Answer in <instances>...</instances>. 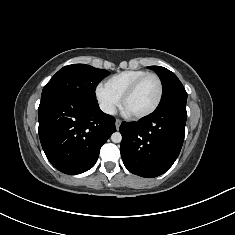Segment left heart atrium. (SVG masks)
<instances>
[{"mask_svg":"<svg viewBox=\"0 0 235 235\" xmlns=\"http://www.w3.org/2000/svg\"><path fill=\"white\" fill-rule=\"evenodd\" d=\"M124 113H125L126 115H130L125 109H124Z\"/></svg>","mask_w":235,"mask_h":235,"instance_id":"1","label":"left heart atrium"}]
</instances>
